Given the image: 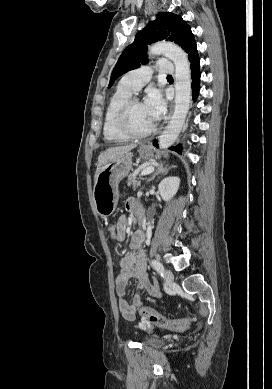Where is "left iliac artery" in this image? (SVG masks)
<instances>
[{
	"label": "left iliac artery",
	"instance_id": "obj_1",
	"mask_svg": "<svg viewBox=\"0 0 272 389\" xmlns=\"http://www.w3.org/2000/svg\"><path fill=\"white\" fill-rule=\"evenodd\" d=\"M152 266L154 269L163 277L164 275V268L163 265L158 260H152L151 261Z\"/></svg>",
	"mask_w": 272,
	"mask_h": 389
}]
</instances>
